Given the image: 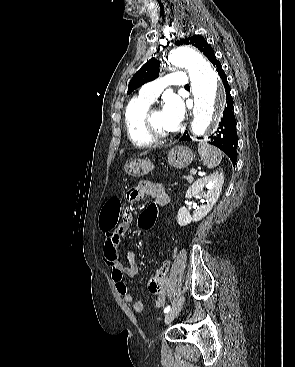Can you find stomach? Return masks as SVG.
<instances>
[{"label": "stomach", "instance_id": "stomach-1", "mask_svg": "<svg viewBox=\"0 0 295 367\" xmlns=\"http://www.w3.org/2000/svg\"><path fill=\"white\" fill-rule=\"evenodd\" d=\"M194 159L191 149L185 146H175L168 153V164L177 169L186 168ZM154 169L149 160H134L125 165V172L133 177H141Z\"/></svg>", "mask_w": 295, "mask_h": 367}]
</instances>
